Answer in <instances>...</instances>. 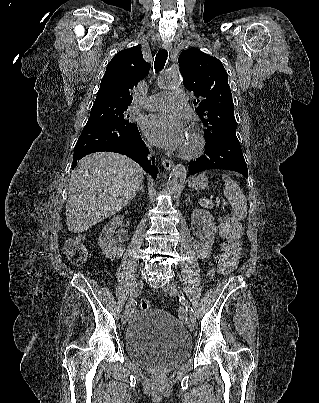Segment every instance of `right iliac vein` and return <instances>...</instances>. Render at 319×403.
Returning a JSON list of instances; mask_svg holds the SVG:
<instances>
[{"mask_svg":"<svg viewBox=\"0 0 319 403\" xmlns=\"http://www.w3.org/2000/svg\"><path fill=\"white\" fill-rule=\"evenodd\" d=\"M144 282L143 280H139L136 282V284L134 285L132 292L130 294V298H129V302L126 305L123 314H122V323L126 324L129 320V312H130V307L133 304L134 300L137 298V296L139 295L141 289L143 288Z\"/></svg>","mask_w":319,"mask_h":403,"instance_id":"obj_1","label":"right iliac vein"}]
</instances>
